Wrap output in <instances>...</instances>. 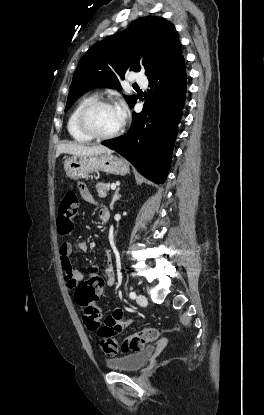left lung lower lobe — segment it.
I'll use <instances>...</instances> for the list:
<instances>
[{"label": "left lung lower lobe", "instance_id": "obj_1", "mask_svg": "<svg viewBox=\"0 0 264 415\" xmlns=\"http://www.w3.org/2000/svg\"><path fill=\"white\" fill-rule=\"evenodd\" d=\"M186 79L183 56L148 77L150 90L145 93L147 100L142 112L132 113L129 131L102 142L157 184L164 183L170 168L177 126L185 104Z\"/></svg>", "mask_w": 264, "mask_h": 415}]
</instances>
